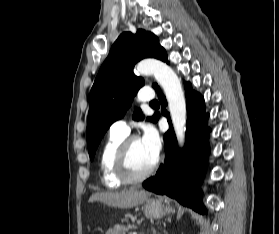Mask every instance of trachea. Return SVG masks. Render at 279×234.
<instances>
[{
    "label": "trachea",
    "mask_w": 279,
    "mask_h": 234,
    "mask_svg": "<svg viewBox=\"0 0 279 234\" xmlns=\"http://www.w3.org/2000/svg\"><path fill=\"white\" fill-rule=\"evenodd\" d=\"M159 103H158V101L157 100H153L151 103H150V105H158Z\"/></svg>",
    "instance_id": "3493384b"
}]
</instances>
